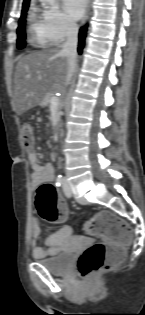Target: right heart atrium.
<instances>
[{"label":"right heart atrium","mask_w":145,"mask_h":315,"mask_svg":"<svg viewBox=\"0 0 145 315\" xmlns=\"http://www.w3.org/2000/svg\"><path fill=\"white\" fill-rule=\"evenodd\" d=\"M41 20L54 43H60L72 37L77 31V25L57 7L44 10Z\"/></svg>","instance_id":"1"}]
</instances>
